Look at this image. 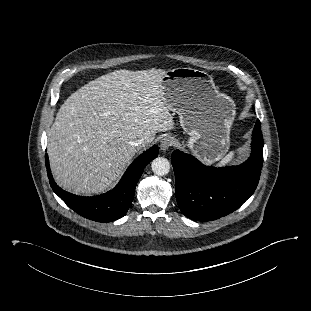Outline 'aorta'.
<instances>
[{
  "label": "aorta",
  "instance_id": "obj_1",
  "mask_svg": "<svg viewBox=\"0 0 311 311\" xmlns=\"http://www.w3.org/2000/svg\"><path fill=\"white\" fill-rule=\"evenodd\" d=\"M152 171L160 176L166 175L170 170V163L164 157H157L151 163Z\"/></svg>",
  "mask_w": 311,
  "mask_h": 311
}]
</instances>
